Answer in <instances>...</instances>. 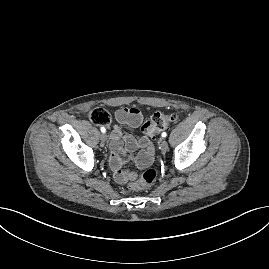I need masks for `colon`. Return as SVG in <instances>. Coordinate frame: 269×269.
Listing matches in <instances>:
<instances>
[{
	"label": "colon",
	"instance_id": "colon-1",
	"mask_svg": "<svg viewBox=\"0 0 269 269\" xmlns=\"http://www.w3.org/2000/svg\"><path fill=\"white\" fill-rule=\"evenodd\" d=\"M90 120L96 125H106L111 123V116L104 108H95L89 113ZM177 119L175 113H162L157 112L151 116V118L144 123L142 131L149 137H154L162 130L167 129ZM157 176V172L153 168L143 171L141 176L134 180L130 184V188L133 190H141L151 186Z\"/></svg>",
	"mask_w": 269,
	"mask_h": 269
}]
</instances>
